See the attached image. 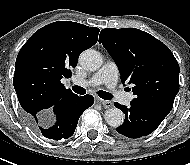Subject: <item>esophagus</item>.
Returning <instances> with one entry per match:
<instances>
[{
    "label": "esophagus",
    "instance_id": "34e87169",
    "mask_svg": "<svg viewBox=\"0 0 190 165\" xmlns=\"http://www.w3.org/2000/svg\"><path fill=\"white\" fill-rule=\"evenodd\" d=\"M98 102L103 105L104 108L108 109L113 106V103L111 101L98 99Z\"/></svg>",
    "mask_w": 190,
    "mask_h": 165
}]
</instances>
